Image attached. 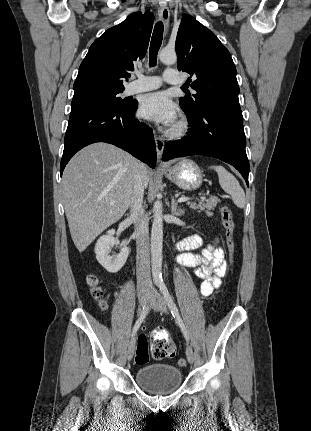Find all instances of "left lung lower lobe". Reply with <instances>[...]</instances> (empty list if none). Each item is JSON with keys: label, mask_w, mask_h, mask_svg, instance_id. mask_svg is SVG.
Segmentation results:
<instances>
[{"label": "left lung lower lobe", "mask_w": 311, "mask_h": 431, "mask_svg": "<svg viewBox=\"0 0 311 431\" xmlns=\"http://www.w3.org/2000/svg\"><path fill=\"white\" fill-rule=\"evenodd\" d=\"M187 119L191 124L187 136L167 143L162 159L167 161L190 155L215 157L234 166L249 186V162L239 103L213 104Z\"/></svg>", "instance_id": "0a47b994"}]
</instances>
